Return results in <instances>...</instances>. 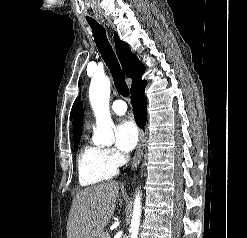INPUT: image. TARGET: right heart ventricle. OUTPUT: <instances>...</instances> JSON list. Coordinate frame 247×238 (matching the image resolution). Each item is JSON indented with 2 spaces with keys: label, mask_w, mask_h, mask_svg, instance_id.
I'll return each mask as SVG.
<instances>
[{
  "label": "right heart ventricle",
  "mask_w": 247,
  "mask_h": 238,
  "mask_svg": "<svg viewBox=\"0 0 247 238\" xmlns=\"http://www.w3.org/2000/svg\"><path fill=\"white\" fill-rule=\"evenodd\" d=\"M78 179L82 186H93L113 178L117 167L108 160L105 149L91 143H83L77 157Z\"/></svg>",
  "instance_id": "right-heart-ventricle-1"
}]
</instances>
